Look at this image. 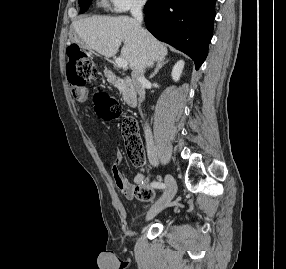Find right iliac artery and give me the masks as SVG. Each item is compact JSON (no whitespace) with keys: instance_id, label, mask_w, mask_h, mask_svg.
Segmentation results:
<instances>
[{"instance_id":"right-iliac-artery-1","label":"right iliac artery","mask_w":286,"mask_h":269,"mask_svg":"<svg viewBox=\"0 0 286 269\" xmlns=\"http://www.w3.org/2000/svg\"><path fill=\"white\" fill-rule=\"evenodd\" d=\"M152 187L159 188V189H164L165 188V184L162 183V182H153L152 183Z\"/></svg>"}]
</instances>
